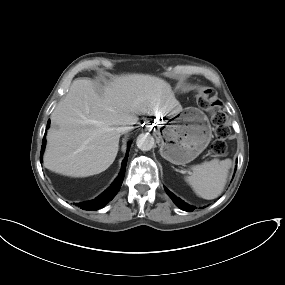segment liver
Masks as SVG:
<instances>
[{
  "instance_id": "liver-1",
  "label": "liver",
  "mask_w": 285,
  "mask_h": 285,
  "mask_svg": "<svg viewBox=\"0 0 285 285\" xmlns=\"http://www.w3.org/2000/svg\"><path fill=\"white\" fill-rule=\"evenodd\" d=\"M182 111L169 83L161 78L128 74L96 92L87 79L72 82L51 114L44 167L70 177L99 174L114 162L119 126L135 124L137 115L170 116Z\"/></svg>"
}]
</instances>
